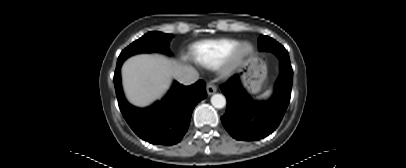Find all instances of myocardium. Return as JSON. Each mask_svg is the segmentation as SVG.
<instances>
[{
  "label": "myocardium",
  "instance_id": "obj_1",
  "mask_svg": "<svg viewBox=\"0 0 406 168\" xmlns=\"http://www.w3.org/2000/svg\"><path fill=\"white\" fill-rule=\"evenodd\" d=\"M254 47L248 42L240 43L231 54L230 58L224 62V74H230L237 67L242 65L252 54Z\"/></svg>",
  "mask_w": 406,
  "mask_h": 168
}]
</instances>
